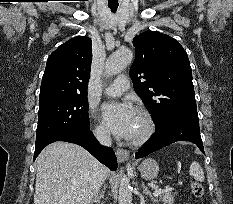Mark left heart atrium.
<instances>
[{"mask_svg":"<svg viewBox=\"0 0 233 204\" xmlns=\"http://www.w3.org/2000/svg\"><path fill=\"white\" fill-rule=\"evenodd\" d=\"M136 111L129 102H107L101 108L105 126L116 136L130 138Z\"/></svg>","mask_w":233,"mask_h":204,"instance_id":"1","label":"left heart atrium"}]
</instances>
